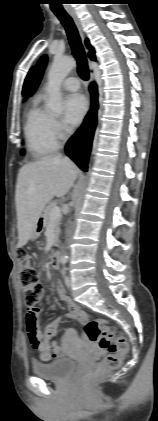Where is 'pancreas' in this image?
<instances>
[{
    "mask_svg": "<svg viewBox=\"0 0 158 421\" xmlns=\"http://www.w3.org/2000/svg\"><path fill=\"white\" fill-rule=\"evenodd\" d=\"M54 206H55V204L53 202H51L45 207L44 213H43V218H44V227H47L50 223H53L55 243H56L58 241V238H59V232H60L59 225H60V222H61V216L57 219H51L50 214H51V210Z\"/></svg>",
    "mask_w": 158,
    "mask_h": 421,
    "instance_id": "cf45deb5",
    "label": "pancreas"
}]
</instances>
